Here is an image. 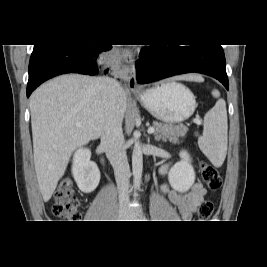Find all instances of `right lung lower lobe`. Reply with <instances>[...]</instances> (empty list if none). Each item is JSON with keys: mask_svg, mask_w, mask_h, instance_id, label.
<instances>
[{"mask_svg": "<svg viewBox=\"0 0 267 267\" xmlns=\"http://www.w3.org/2000/svg\"><path fill=\"white\" fill-rule=\"evenodd\" d=\"M110 48L111 45H34L29 63L27 97L44 81L57 75L98 74L100 54Z\"/></svg>", "mask_w": 267, "mask_h": 267, "instance_id": "1", "label": "right lung lower lobe"}]
</instances>
